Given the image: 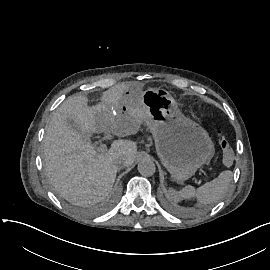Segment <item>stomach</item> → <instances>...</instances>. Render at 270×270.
I'll return each instance as SVG.
<instances>
[{"label": "stomach", "mask_w": 270, "mask_h": 270, "mask_svg": "<svg viewBox=\"0 0 270 270\" xmlns=\"http://www.w3.org/2000/svg\"><path fill=\"white\" fill-rule=\"evenodd\" d=\"M173 103L167 91L150 88L142 92L141 100H131L128 108L134 114L143 113L147 108L144 121L154 138L160 162L172 181L183 184L209 163L215 148L208 132L172 107ZM121 112L127 109L122 107Z\"/></svg>", "instance_id": "stomach-1"}]
</instances>
